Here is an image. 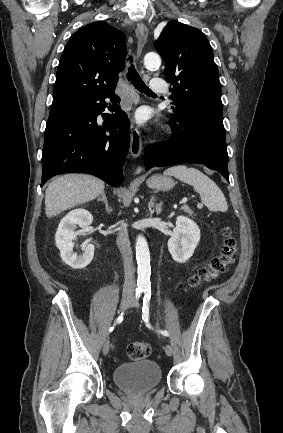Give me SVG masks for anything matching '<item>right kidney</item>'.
Returning <instances> with one entry per match:
<instances>
[{
    "mask_svg": "<svg viewBox=\"0 0 283 433\" xmlns=\"http://www.w3.org/2000/svg\"><path fill=\"white\" fill-rule=\"evenodd\" d=\"M93 221L92 214L85 209H75L70 211L59 223L55 234V242L60 250L62 261L73 269H83L93 259L94 245L86 241L82 250L83 253L78 255L73 252V240L80 234H83ZM77 225L82 228L80 231H75Z\"/></svg>",
    "mask_w": 283,
    "mask_h": 433,
    "instance_id": "1",
    "label": "right kidney"
}]
</instances>
